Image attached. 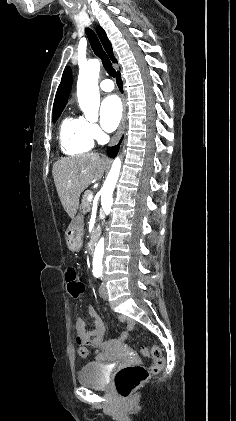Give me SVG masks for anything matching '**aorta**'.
I'll return each mask as SVG.
<instances>
[{"instance_id":"aorta-1","label":"aorta","mask_w":236,"mask_h":421,"mask_svg":"<svg viewBox=\"0 0 236 421\" xmlns=\"http://www.w3.org/2000/svg\"><path fill=\"white\" fill-rule=\"evenodd\" d=\"M100 72V62L97 58L88 60L86 66L79 72L77 82L78 102L81 110L86 114L89 104H94L95 98L99 96L98 76ZM121 168V158L116 156L113 160L111 170L101 188V204L105 215H110L113 204V190L119 178ZM105 239H100L94 253L93 271L102 273V259L104 253Z\"/></svg>"}]
</instances>
